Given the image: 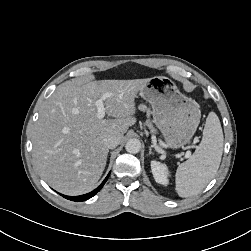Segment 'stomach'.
<instances>
[{
  "label": "stomach",
  "instance_id": "stomach-1",
  "mask_svg": "<svg viewBox=\"0 0 251 251\" xmlns=\"http://www.w3.org/2000/svg\"><path fill=\"white\" fill-rule=\"evenodd\" d=\"M139 94L151 104L154 123L167 147L178 149L190 142L201 118L194 100L182 94L165 76L151 78Z\"/></svg>",
  "mask_w": 251,
  "mask_h": 251
}]
</instances>
